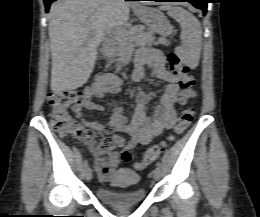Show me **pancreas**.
<instances>
[{"mask_svg":"<svg viewBox=\"0 0 260 217\" xmlns=\"http://www.w3.org/2000/svg\"><path fill=\"white\" fill-rule=\"evenodd\" d=\"M157 43L164 44L166 39L160 38L156 42L153 32L145 31L141 26H134L120 29L112 39L107 40L106 46L116 52L120 60H123L133 46H152Z\"/></svg>","mask_w":260,"mask_h":217,"instance_id":"obj_1","label":"pancreas"}]
</instances>
